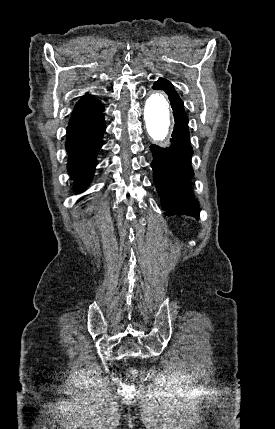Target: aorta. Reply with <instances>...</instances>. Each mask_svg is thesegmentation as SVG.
<instances>
[{
    "mask_svg": "<svg viewBox=\"0 0 275 429\" xmlns=\"http://www.w3.org/2000/svg\"><path fill=\"white\" fill-rule=\"evenodd\" d=\"M144 119L150 137L162 141L169 134L172 125L171 107L163 91L149 93L145 101Z\"/></svg>",
    "mask_w": 275,
    "mask_h": 429,
    "instance_id": "aorta-1",
    "label": "aorta"
}]
</instances>
